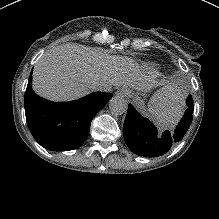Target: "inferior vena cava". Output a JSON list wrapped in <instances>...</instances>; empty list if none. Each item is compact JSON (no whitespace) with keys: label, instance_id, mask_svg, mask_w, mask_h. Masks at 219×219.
I'll return each mask as SVG.
<instances>
[{"label":"inferior vena cava","instance_id":"inferior-vena-cava-1","mask_svg":"<svg viewBox=\"0 0 219 219\" xmlns=\"http://www.w3.org/2000/svg\"><path fill=\"white\" fill-rule=\"evenodd\" d=\"M93 86L95 89L102 91V92H111L112 91V84L111 82L104 77H99L94 80Z\"/></svg>","mask_w":219,"mask_h":219}]
</instances>
